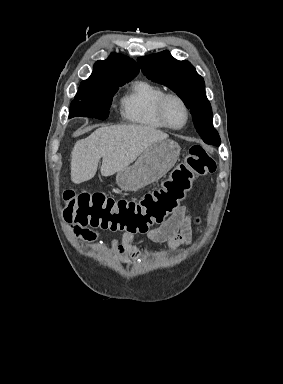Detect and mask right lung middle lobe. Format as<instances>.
Masks as SVG:
<instances>
[{"label":"right lung middle lobe","instance_id":"dd1d6c3e","mask_svg":"<svg viewBox=\"0 0 283 384\" xmlns=\"http://www.w3.org/2000/svg\"><path fill=\"white\" fill-rule=\"evenodd\" d=\"M126 82L109 83L79 89L70 105L69 118L83 116L105 120L108 118L112 97Z\"/></svg>","mask_w":283,"mask_h":384}]
</instances>
